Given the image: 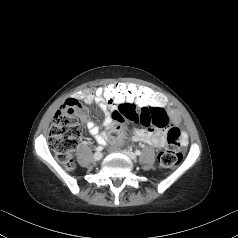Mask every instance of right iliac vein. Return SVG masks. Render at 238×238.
I'll return each instance as SVG.
<instances>
[{
	"mask_svg": "<svg viewBox=\"0 0 238 238\" xmlns=\"http://www.w3.org/2000/svg\"><path fill=\"white\" fill-rule=\"evenodd\" d=\"M103 157V154L101 152H96L93 156L95 161H99Z\"/></svg>",
	"mask_w": 238,
	"mask_h": 238,
	"instance_id": "63e3f726",
	"label": "right iliac vein"
}]
</instances>
